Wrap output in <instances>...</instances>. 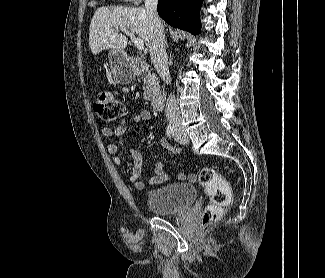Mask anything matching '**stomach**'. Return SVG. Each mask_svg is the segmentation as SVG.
Listing matches in <instances>:
<instances>
[{
    "label": "stomach",
    "instance_id": "0dacf381",
    "mask_svg": "<svg viewBox=\"0 0 325 278\" xmlns=\"http://www.w3.org/2000/svg\"><path fill=\"white\" fill-rule=\"evenodd\" d=\"M109 63L114 80L118 84H128L134 80L136 73L123 50L111 49L109 52Z\"/></svg>",
    "mask_w": 325,
    "mask_h": 278
}]
</instances>
